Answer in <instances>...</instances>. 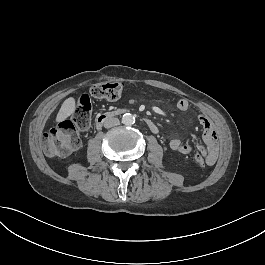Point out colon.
Wrapping results in <instances>:
<instances>
[{
    "mask_svg": "<svg viewBox=\"0 0 265 265\" xmlns=\"http://www.w3.org/2000/svg\"><path fill=\"white\" fill-rule=\"evenodd\" d=\"M122 94V85L117 82L100 83L93 85L89 92L83 94L77 102V107L72 116V120L64 121L58 126L50 129L43 136L44 150L51 157H58L67 154L78 143V134L75 126L87 128L91 121V110L93 104L91 98L104 99L108 101L117 100ZM195 162L200 166H206L203 155L196 153Z\"/></svg>",
    "mask_w": 265,
    "mask_h": 265,
    "instance_id": "colon-1",
    "label": "colon"
}]
</instances>
